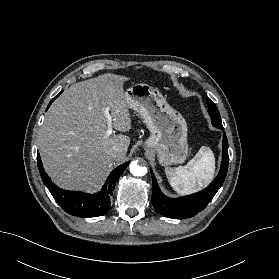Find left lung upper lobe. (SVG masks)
<instances>
[{
  "label": "left lung upper lobe",
  "instance_id": "5c2ea615",
  "mask_svg": "<svg viewBox=\"0 0 279 279\" xmlns=\"http://www.w3.org/2000/svg\"><path fill=\"white\" fill-rule=\"evenodd\" d=\"M208 106H209V113L211 116L212 124L215 127L223 128L219 111L216 105L214 104V102L210 99H208Z\"/></svg>",
  "mask_w": 279,
  "mask_h": 279
}]
</instances>
